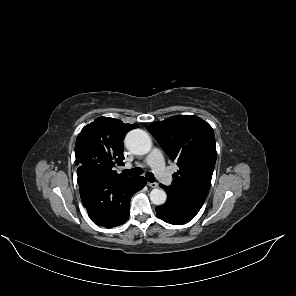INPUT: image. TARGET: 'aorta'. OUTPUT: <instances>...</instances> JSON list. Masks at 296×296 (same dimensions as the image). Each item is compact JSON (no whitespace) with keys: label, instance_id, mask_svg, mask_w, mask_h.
I'll return each mask as SVG.
<instances>
[{"label":"aorta","instance_id":"aorta-1","mask_svg":"<svg viewBox=\"0 0 296 296\" xmlns=\"http://www.w3.org/2000/svg\"><path fill=\"white\" fill-rule=\"evenodd\" d=\"M125 145L132 153L136 155H145L150 151L152 141L145 131L134 129L127 133L125 137ZM166 199L167 194L161 188H155L150 192V200L155 205L164 204Z\"/></svg>","mask_w":296,"mask_h":296}]
</instances>
